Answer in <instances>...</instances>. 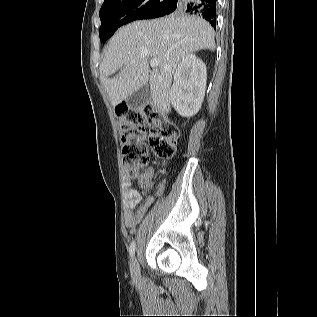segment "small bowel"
Segmentation results:
<instances>
[{"label":"small bowel","mask_w":317,"mask_h":317,"mask_svg":"<svg viewBox=\"0 0 317 317\" xmlns=\"http://www.w3.org/2000/svg\"><path fill=\"white\" fill-rule=\"evenodd\" d=\"M151 172H147L144 176V180H149ZM127 196V206L125 212V225L129 229L135 228L138 223L142 220L147 210L153 203L152 198H148L144 203H141L142 196L140 193L134 189H128L126 192ZM137 207L136 212L133 210Z\"/></svg>","instance_id":"obj_1"}]
</instances>
